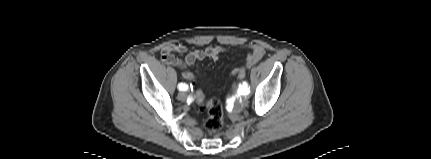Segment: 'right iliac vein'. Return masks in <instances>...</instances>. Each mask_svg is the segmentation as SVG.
Wrapping results in <instances>:
<instances>
[{
  "label": "right iliac vein",
  "instance_id": "63e3f726",
  "mask_svg": "<svg viewBox=\"0 0 431 159\" xmlns=\"http://www.w3.org/2000/svg\"><path fill=\"white\" fill-rule=\"evenodd\" d=\"M177 98H178V100H180V101H185V100H186V98H187V95H186V93H184V92H180V93L178 94Z\"/></svg>",
  "mask_w": 431,
  "mask_h": 159
}]
</instances>
